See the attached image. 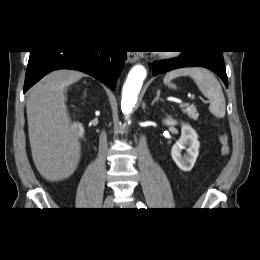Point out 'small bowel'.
<instances>
[{
	"label": "small bowel",
	"mask_w": 260,
	"mask_h": 260,
	"mask_svg": "<svg viewBox=\"0 0 260 260\" xmlns=\"http://www.w3.org/2000/svg\"><path fill=\"white\" fill-rule=\"evenodd\" d=\"M221 143H222V151L226 153L228 151V147L226 144V138L224 136L221 137Z\"/></svg>",
	"instance_id": "c3829d8e"
}]
</instances>
